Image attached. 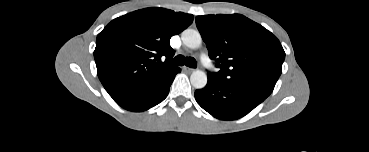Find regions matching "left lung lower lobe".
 <instances>
[{
  "label": "left lung lower lobe",
  "instance_id": "0a47b994",
  "mask_svg": "<svg viewBox=\"0 0 369 152\" xmlns=\"http://www.w3.org/2000/svg\"><path fill=\"white\" fill-rule=\"evenodd\" d=\"M205 88L195 91L197 103L221 120H236L253 110L269 95L251 88L226 84L208 74Z\"/></svg>",
  "mask_w": 369,
  "mask_h": 152
}]
</instances>
